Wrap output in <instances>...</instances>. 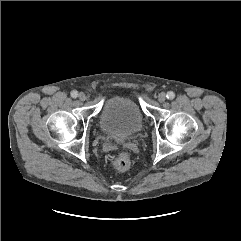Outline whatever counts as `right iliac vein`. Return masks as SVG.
Instances as JSON below:
<instances>
[{
    "label": "right iliac vein",
    "mask_w": 241,
    "mask_h": 241,
    "mask_svg": "<svg viewBox=\"0 0 241 241\" xmlns=\"http://www.w3.org/2000/svg\"><path fill=\"white\" fill-rule=\"evenodd\" d=\"M78 97H79V100H81V101H85L87 98L85 93H83V92L79 93Z\"/></svg>",
    "instance_id": "right-iliac-vein-1"
}]
</instances>
